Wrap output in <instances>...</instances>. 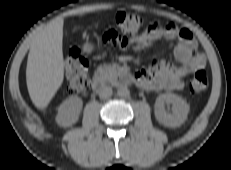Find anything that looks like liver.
<instances>
[{
    "mask_svg": "<svg viewBox=\"0 0 231 170\" xmlns=\"http://www.w3.org/2000/svg\"><path fill=\"white\" fill-rule=\"evenodd\" d=\"M63 19H55L40 31L28 54L26 82L38 109L48 106L64 80Z\"/></svg>",
    "mask_w": 231,
    "mask_h": 170,
    "instance_id": "1",
    "label": "liver"
}]
</instances>
